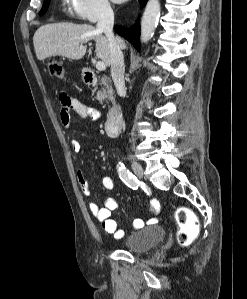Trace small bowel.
<instances>
[{
  "mask_svg": "<svg viewBox=\"0 0 247 299\" xmlns=\"http://www.w3.org/2000/svg\"><path fill=\"white\" fill-rule=\"evenodd\" d=\"M61 101V111L60 118L61 122L65 127H69L71 123V114L76 113L83 119H92L98 120L101 115L98 110L95 108L88 106L81 102L80 100L70 97L66 93L62 92L60 94ZM71 149L78 153L81 151L82 145L81 142L77 139H72L70 141ZM77 179L80 186V189L83 194L89 195L91 192L90 182L88 177L83 171H79L77 173ZM102 186L107 190H112L115 187V181L111 176L103 177ZM118 207V201L114 197H108L105 199L103 206H99L98 204L91 202L89 204V208L94 218L101 224L103 230L113 235L115 238L124 237V232L118 228L117 222L112 218V212L116 210ZM160 211V203L157 199H151L150 201V215L151 217L148 219V223L156 222V217ZM145 222L141 218H135L132 222V227L135 230H139L143 228Z\"/></svg>",
  "mask_w": 247,
  "mask_h": 299,
  "instance_id": "small-bowel-1",
  "label": "small bowel"
}]
</instances>
